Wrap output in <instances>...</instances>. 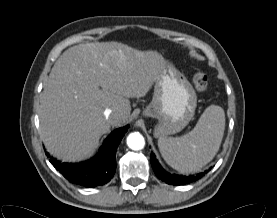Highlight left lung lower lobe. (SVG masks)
<instances>
[{
	"label": "left lung lower lobe",
	"instance_id": "left-lung-lower-lobe-1",
	"mask_svg": "<svg viewBox=\"0 0 277 218\" xmlns=\"http://www.w3.org/2000/svg\"><path fill=\"white\" fill-rule=\"evenodd\" d=\"M151 165L157 177L162 181L166 182L167 184H171V185L189 184L191 182H194L202 178L208 172V171H205L202 173H198L196 175H189V176L170 174L160 166V164L158 163L153 153L151 154Z\"/></svg>",
	"mask_w": 277,
	"mask_h": 218
}]
</instances>
